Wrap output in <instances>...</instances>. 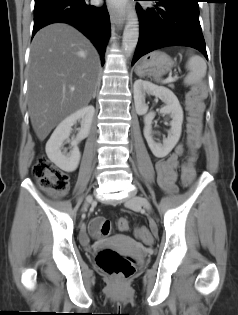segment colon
Instances as JSON below:
<instances>
[{
    "mask_svg": "<svg viewBox=\"0 0 238 315\" xmlns=\"http://www.w3.org/2000/svg\"><path fill=\"white\" fill-rule=\"evenodd\" d=\"M205 95V87L198 85L192 90L187 99V108L190 114L187 135L189 153H193L200 146L203 114L202 100L205 98ZM32 172L40 185L54 194H64L69 188L68 175L46 158L39 159L33 166ZM193 177L192 167L188 163L183 164V182L189 184ZM117 228L121 231L128 230V220L125 218L119 219ZM89 232L95 238L106 237L111 232V222L106 218L96 217L89 224ZM136 235L142 240H148L150 237L145 227L137 228ZM96 262L98 267L116 282L129 279L135 271V263L131 258L125 257L112 249H102L96 257Z\"/></svg>",
    "mask_w": 238,
    "mask_h": 315,
    "instance_id": "1",
    "label": "colon"
}]
</instances>
